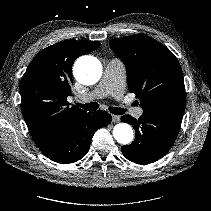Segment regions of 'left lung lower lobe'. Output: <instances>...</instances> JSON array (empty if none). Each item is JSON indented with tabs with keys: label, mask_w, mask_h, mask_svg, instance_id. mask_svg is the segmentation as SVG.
<instances>
[{
	"label": "left lung lower lobe",
	"mask_w": 211,
	"mask_h": 211,
	"mask_svg": "<svg viewBox=\"0 0 211 211\" xmlns=\"http://www.w3.org/2000/svg\"><path fill=\"white\" fill-rule=\"evenodd\" d=\"M182 118V113L171 112L143 113L138 120L122 116L121 121L131 124L136 132L133 143L122 148L123 155L143 165L159 160L174 144Z\"/></svg>",
	"instance_id": "0a47b994"
}]
</instances>
